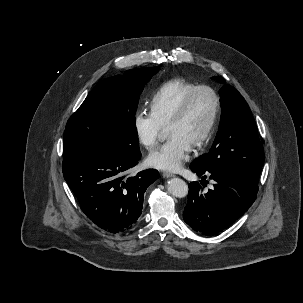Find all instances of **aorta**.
<instances>
[{
	"instance_id": "1",
	"label": "aorta",
	"mask_w": 303,
	"mask_h": 303,
	"mask_svg": "<svg viewBox=\"0 0 303 303\" xmlns=\"http://www.w3.org/2000/svg\"><path fill=\"white\" fill-rule=\"evenodd\" d=\"M168 192L177 198H183L188 194L187 183L180 178H173L167 182Z\"/></svg>"
}]
</instances>
